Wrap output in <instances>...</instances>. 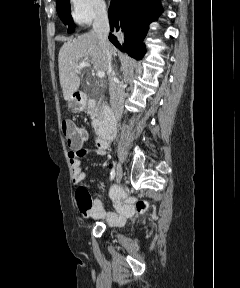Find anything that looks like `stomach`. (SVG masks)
<instances>
[{"label": "stomach", "mask_w": 240, "mask_h": 288, "mask_svg": "<svg viewBox=\"0 0 240 288\" xmlns=\"http://www.w3.org/2000/svg\"><path fill=\"white\" fill-rule=\"evenodd\" d=\"M76 105H77V103L75 101H73L69 104V107H75Z\"/></svg>", "instance_id": "stomach-1"}]
</instances>
